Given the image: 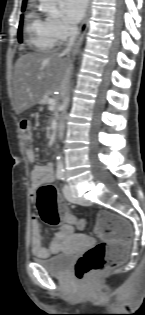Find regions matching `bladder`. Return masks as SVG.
I'll return each mask as SVG.
<instances>
[{"mask_svg":"<svg viewBox=\"0 0 145 315\" xmlns=\"http://www.w3.org/2000/svg\"><path fill=\"white\" fill-rule=\"evenodd\" d=\"M86 249V248H73ZM74 256H65V252L46 260H39L42 267L52 276H64L73 265Z\"/></svg>","mask_w":145,"mask_h":315,"instance_id":"31cf9c89","label":"bladder"}]
</instances>
